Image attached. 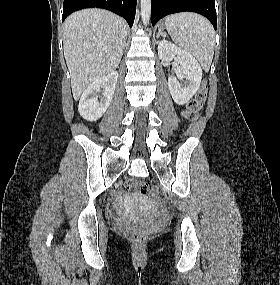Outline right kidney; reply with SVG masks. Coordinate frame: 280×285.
<instances>
[{"label":"right kidney","mask_w":280,"mask_h":285,"mask_svg":"<svg viewBox=\"0 0 280 285\" xmlns=\"http://www.w3.org/2000/svg\"><path fill=\"white\" fill-rule=\"evenodd\" d=\"M117 79L118 72L113 70L107 75L94 80L83 92L78 111L85 120L96 121L106 112L112 101ZM101 88L103 94L101 99L98 100L97 93Z\"/></svg>","instance_id":"1"}]
</instances>
